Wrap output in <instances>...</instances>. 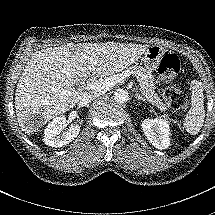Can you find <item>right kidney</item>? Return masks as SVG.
Segmentation results:
<instances>
[{
	"mask_svg": "<svg viewBox=\"0 0 215 215\" xmlns=\"http://www.w3.org/2000/svg\"><path fill=\"white\" fill-rule=\"evenodd\" d=\"M67 123L65 116H59L52 120L45 128L44 143L50 147L60 148L72 142L79 135L81 126L74 122L67 130L61 132Z\"/></svg>",
	"mask_w": 215,
	"mask_h": 215,
	"instance_id": "1",
	"label": "right kidney"
}]
</instances>
